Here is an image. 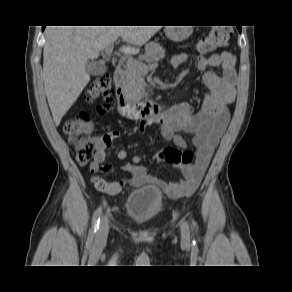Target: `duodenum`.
<instances>
[{"label": "duodenum", "instance_id": "410a0bca", "mask_svg": "<svg viewBox=\"0 0 292 292\" xmlns=\"http://www.w3.org/2000/svg\"><path fill=\"white\" fill-rule=\"evenodd\" d=\"M114 81L118 108L123 116L140 119L141 121H151L163 111L164 106L158 101L152 99L132 100L124 95L122 89L124 70L121 64L114 69Z\"/></svg>", "mask_w": 292, "mask_h": 292}]
</instances>
